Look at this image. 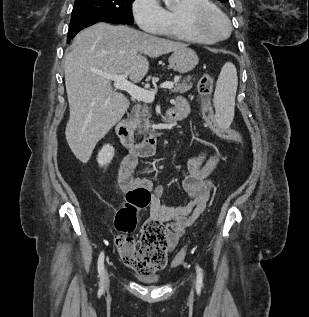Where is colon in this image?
Masks as SVG:
<instances>
[{
  "label": "colon",
  "instance_id": "1",
  "mask_svg": "<svg viewBox=\"0 0 309 317\" xmlns=\"http://www.w3.org/2000/svg\"><path fill=\"white\" fill-rule=\"evenodd\" d=\"M200 95L202 114L207 125L228 140L243 145L239 132L230 128L217 127L214 112L210 104V95L213 89V79L209 75L200 77L197 85ZM151 195L145 189H135L126 194L125 206L116 216L115 226L118 231L116 248L122 261L128 267L142 275H149L165 267L167 263L168 240L162 222L154 219L147 220L142 228L138 240L130 234L136 226L137 212L146 208L150 203ZM185 258V251L175 257V264H180Z\"/></svg>",
  "mask_w": 309,
  "mask_h": 317
}]
</instances>
